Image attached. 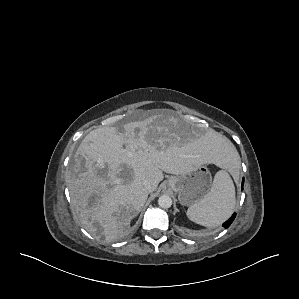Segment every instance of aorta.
Returning a JSON list of instances; mask_svg holds the SVG:
<instances>
[{"instance_id": "obj_1", "label": "aorta", "mask_w": 299, "mask_h": 299, "mask_svg": "<svg viewBox=\"0 0 299 299\" xmlns=\"http://www.w3.org/2000/svg\"><path fill=\"white\" fill-rule=\"evenodd\" d=\"M158 204L161 208H170L172 205V199L168 195H161L158 199Z\"/></svg>"}]
</instances>
